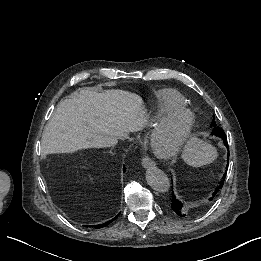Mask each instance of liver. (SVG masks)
Returning a JSON list of instances; mask_svg holds the SVG:
<instances>
[{
  "mask_svg": "<svg viewBox=\"0 0 261 261\" xmlns=\"http://www.w3.org/2000/svg\"><path fill=\"white\" fill-rule=\"evenodd\" d=\"M148 126L143 99L119 89L82 88L58 103L42 135L45 152L72 153L116 145L129 132Z\"/></svg>",
  "mask_w": 261,
  "mask_h": 261,
  "instance_id": "obj_1",
  "label": "liver"
}]
</instances>
